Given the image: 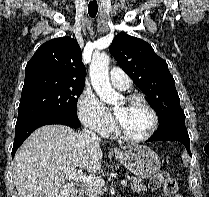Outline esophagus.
Here are the masks:
<instances>
[{
    "label": "esophagus",
    "instance_id": "obj_1",
    "mask_svg": "<svg viewBox=\"0 0 209 197\" xmlns=\"http://www.w3.org/2000/svg\"><path fill=\"white\" fill-rule=\"evenodd\" d=\"M114 151H115V152H119V150H118L117 148H114Z\"/></svg>",
    "mask_w": 209,
    "mask_h": 197
}]
</instances>
